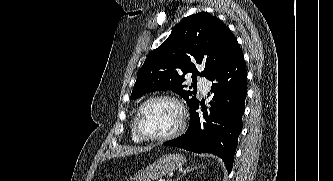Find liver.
<instances>
[{
	"label": "liver",
	"instance_id": "liver-1",
	"mask_svg": "<svg viewBox=\"0 0 333 181\" xmlns=\"http://www.w3.org/2000/svg\"><path fill=\"white\" fill-rule=\"evenodd\" d=\"M153 148V146H149V147H145V148H123L118 150L117 152H115L111 157L114 156H130L133 154H138V153H142V152H147L150 151Z\"/></svg>",
	"mask_w": 333,
	"mask_h": 181
}]
</instances>
